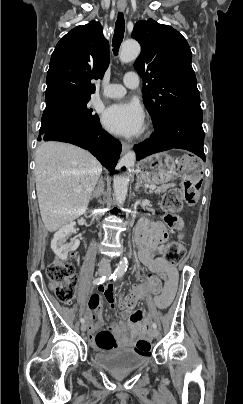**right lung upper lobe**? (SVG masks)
Here are the masks:
<instances>
[{
	"mask_svg": "<svg viewBox=\"0 0 243 404\" xmlns=\"http://www.w3.org/2000/svg\"><path fill=\"white\" fill-rule=\"evenodd\" d=\"M109 44L99 22L91 21L68 32L56 45L47 72L46 103L90 97L92 79L102 78L108 67Z\"/></svg>",
	"mask_w": 243,
	"mask_h": 404,
	"instance_id": "right-lung-upper-lobe-1",
	"label": "right lung upper lobe"
}]
</instances>
